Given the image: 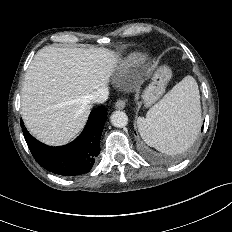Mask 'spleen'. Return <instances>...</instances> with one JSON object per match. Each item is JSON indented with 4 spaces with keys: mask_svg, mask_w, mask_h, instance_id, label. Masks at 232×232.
<instances>
[{
    "mask_svg": "<svg viewBox=\"0 0 232 232\" xmlns=\"http://www.w3.org/2000/svg\"><path fill=\"white\" fill-rule=\"evenodd\" d=\"M200 125V95L192 76L184 77L145 118L137 119L142 139L168 155L188 150L198 136Z\"/></svg>",
    "mask_w": 232,
    "mask_h": 232,
    "instance_id": "spleen-1",
    "label": "spleen"
}]
</instances>
